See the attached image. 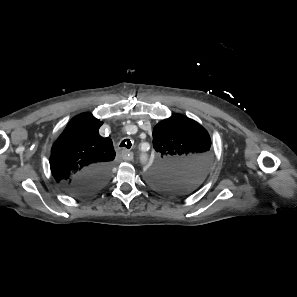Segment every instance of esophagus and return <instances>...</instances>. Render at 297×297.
Returning <instances> with one entry per match:
<instances>
[{
    "label": "esophagus",
    "instance_id": "34e87169",
    "mask_svg": "<svg viewBox=\"0 0 297 297\" xmlns=\"http://www.w3.org/2000/svg\"><path fill=\"white\" fill-rule=\"evenodd\" d=\"M121 156L126 161H131L133 159V153L130 152L129 150H127V149H123L121 151Z\"/></svg>",
    "mask_w": 297,
    "mask_h": 297
}]
</instances>
